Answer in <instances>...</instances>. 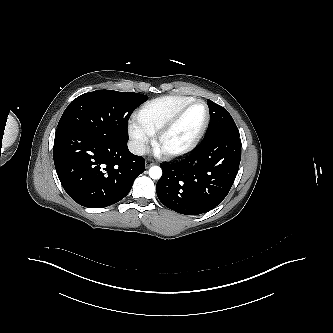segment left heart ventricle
Returning a JSON list of instances; mask_svg holds the SVG:
<instances>
[{"instance_id":"b2bd125f","label":"left heart ventricle","mask_w":333,"mask_h":333,"mask_svg":"<svg viewBox=\"0 0 333 333\" xmlns=\"http://www.w3.org/2000/svg\"><path fill=\"white\" fill-rule=\"evenodd\" d=\"M206 118V109L202 104H195L183 115L178 124L161 142L163 149H178L188 144L201 128Z\"/></svg>"}]
</instances>
